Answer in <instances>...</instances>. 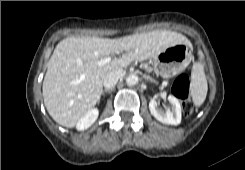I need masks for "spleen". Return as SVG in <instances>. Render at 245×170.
<instances>
[{
  "instance_id": "obj_1",
  "label": "spleen",
  "mask_w": 245,
  "mask_h": 170,
  "mask_svg": "<svg viewBox=\"0 0 245 170\" xmlns=\"http://www.w3.org/2000/svg\"><path fill=\"white\" fill-rule=\"evenodd\" d=\"M208 84L204 72V67L201 63L196 62L192 66L190 95L195 106H201L207 96Z\"/></svg>"
}]
</instances>
